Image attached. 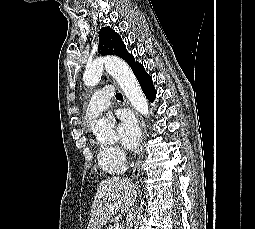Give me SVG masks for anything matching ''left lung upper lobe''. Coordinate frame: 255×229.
<instances>
[{"instance_id": "obj_1", "label": "left lung upper lobe", "mask_w": 255, "mask_h": 229, "mask_svg": "<svg viewBox=\"0 0 255 229\" xmlns=\"http://www.w3.org/2000/svg\"><path fill=\"white\" fill-rule=\"evenodd\" d=\"M98 53L104 55H116L124 59L131 68L136 63L133 56L125 48L118 33L109 26L100 29Z\"/></svg>"}]
</instances>
